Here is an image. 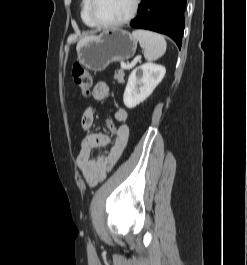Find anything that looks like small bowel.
<instances>
[{
  "label": "small bowel",
  "instance_id": "1",
  "mask_svg": "<svg viewBox=\"0 0 247 265\" xmlns=\"http://www.w3.org/2000/svg\"><path fill=\"white\" fill-rule=\"evenodd\" d=\"M111 91L106 82H97L93 88V97L96 100H104ZM128 111L122 106H118L115 112V119L120 123L117 127V136L113 141L116 144L113 148L102 154L95 156L94 150L104 147L110 143V137L103 133H89L81 142L80 151L77 156V167L82 176L90 186H95L103 181L109 171L114 167L123 153L129 138V127L126 124ZM94 123V108L87 107L81 117L83 130L88 131Z\"/></svg>",
  "mask_w": 247,
  "mask_h": 265
}]
</instances>
